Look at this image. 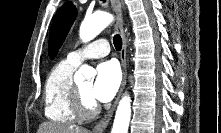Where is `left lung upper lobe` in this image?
Wrapping results in <instances>:
<instances>
[{
    "instance_id": "left-lung-upper-lobe-1",
    "label": "left lung upper lobe",
    "mask_w": 221,
    "mask_h": 133,
    "mask_svg": "<svg viewBox=\"0 0 221 133\" xmlns=\"http://www.w3.org/2000/svg\"><path fill=\"white\" fill-rule=\"evenodd\" d=\"M76 8L72 2L63 4L57 11L51 26L49 37V56L53 59L63 44L70 27L72 26Z\"/></svg>"
}]
</instances>
